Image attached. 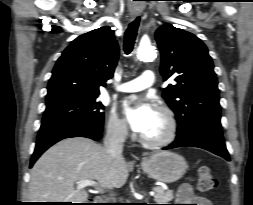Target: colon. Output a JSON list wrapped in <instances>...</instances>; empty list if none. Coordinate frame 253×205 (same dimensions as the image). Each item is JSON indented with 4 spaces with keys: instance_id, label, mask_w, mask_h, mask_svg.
I'll return each mask as SVG.
<instances>
[{
    "instance_id": "colon-1",
    "label": "colon",
    "mask_w": 253,
    "mask_h": 205,
    "mask_svg": "<svg viewBox=\"0 0 253 205\" xmlns=\"http://www.w3.org/2000/svg\"><path fill=\"white\" fill-rule=\"evenodd\" d=\"M216 179L208 166H201L197 173L198 189L201 192H208L215 188Z\"/></svg>"
}]
</instances>
